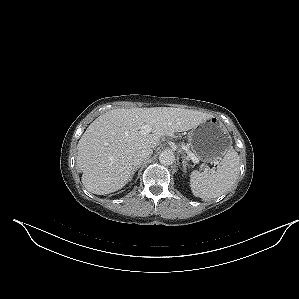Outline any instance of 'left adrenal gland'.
I'll return each instance as SVG.
<instances>
[{
	"label": "left adrenal gland",
	"instance_id": "a2214340",
	"mask_svg": "<svg viewBox=\"0 0 299 299\" xmlns=\"http://www.w3.org/2000/svg\"><path fill=\"white\" fill-rule=\"evenodd\" d=\"M182 165H183V172L186 174L187 173L188 163H187L186 157L184 155L182 156Z\"/></svg>",
	"mask_w": 299,
	"mask_h": 299
}]
</instances>
